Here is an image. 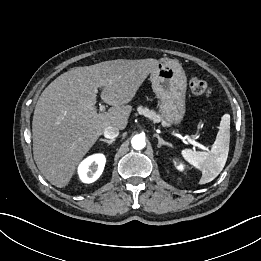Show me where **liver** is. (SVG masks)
I'll return each instance as SVG.
<instances>
[{"mask_svg":"<svg viewBox=\"0 0 261 261\" xmlns=\"http://www.w3.org/2000/svg\"><path fill=\"white\" fill-rule=\"evenodd\" d=\"M156 59L104 61L67 71L39 97L32 121L33 155L43 176L65 187L76 167L108 126L126 128L132 101ZM112 106L97 113V88Z\"/></svg>","mask_w":261,"mask_h":261,"instance_id":"obj_1","label":"liver"}]
</instances>
